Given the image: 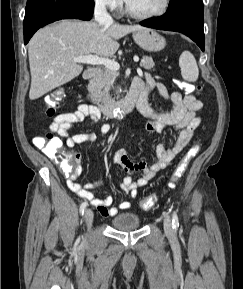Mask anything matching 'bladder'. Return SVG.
Segmentation results:
<instances>
[{"mask_svg":"<svg viewBox=\"0 0 243 289\" xmlns=\"http://www.w3.org/2000/svg\"><path fill=\"white\" fill-rule=\"evenodd\" d=\"M111 224L117 230L129 231L140 227V219L135 213L124 212L116 215Z\"/></svg>","mask_w":243,"mask_h":289,"instance_id":"1","label":"bladder"}]
</instances>
